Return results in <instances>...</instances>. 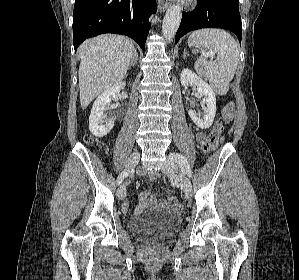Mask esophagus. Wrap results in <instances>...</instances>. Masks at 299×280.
<instances>
[{
  "mask_svg": "<svg viewBox=\"0 0 299 280\" xmlns=\"http://www.w3.org/2000/svg\"><path fill=\"white\" fill-rule=\"evenodd\" d=\"M168 3L165 2L164 0H158V8L160 12H163L165 9H167Z\"/></svg>",
  "mask_w": 299,
  "mask_h": 280,
  "instance_id": "34e87169",
  "label": "esophagus"
}]
</instances>
